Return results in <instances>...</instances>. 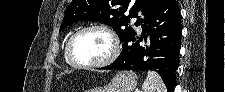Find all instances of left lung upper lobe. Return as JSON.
I'll list each match as a JSON object with an SVG mask.
<instances>
[{"instance_id": "1", "label": "left lung upper lobe", "mask_w": 225, "mask_h": 92, "mask_svg": "<svg viewBox=\"0 0 225 92\" xmlns=\"http://www.w3.org/2000/svg\"><path fill=\"white\" fill-rule=\"evenodd\" d=\"M165 0H72L68 6L60 31L68 25L81 20L101 22L113 27L121 42L132 38L136 33L128 27L130 18H137L136 26L142 24L141 11L146 17ZM129 10V15L124 13ZM124 26H126L124 28Z\"/></svg>"}]
</instances>
